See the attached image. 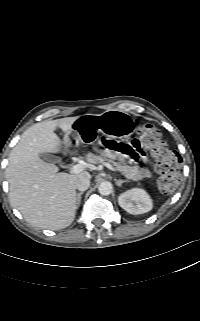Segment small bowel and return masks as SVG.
Returning a JSON list of instances; mask_svg holds the SVG:
<instances>
[{"instance_id":"small-bowel-1","label":"small bowel","mask_w":200,"mask_h":321,"mask_svg":"<svg viewBox=\"0 0 200 321\" xmlns=\"http://www.w3.org/2000/svg\"><path fill=\"white\" fill-rule=\"evenodd\" d=\"M100 143L102 146L107 147L117 155L127 158L130 162L139 163L148 155L142 140L138 136H127L124 142H117L107 136L101 138Z\"/></svg>"}]
</instances>
